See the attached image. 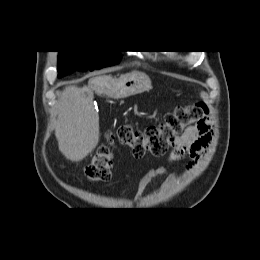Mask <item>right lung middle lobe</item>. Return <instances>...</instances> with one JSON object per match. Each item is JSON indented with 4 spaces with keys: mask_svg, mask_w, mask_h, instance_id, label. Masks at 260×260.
I'll return each instance as SVG.
<instances>
[{
    "mask_svg": "<svg viewBox=\"0 0 260 260\" xmlns=\"http://www.w3.org/2000/svg\"><path fill=\"white\" fill-rule=\"evenodd\" d=\"M121 55L116 51H59L58 78L76 70H93L118 64Z\"/></svg>",
    "mask_w": 260,
    "mask_h": 260,
    "instance_id": "obj_1",
    "label": "right lung middle lobe"
}]
</instances>
